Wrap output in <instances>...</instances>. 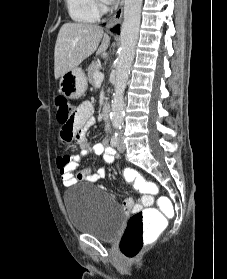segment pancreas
<instances>
[{
  "label": "pancreas",
  "mask_w": 227,
  "mask_h": 279,
  "mask_svg": "<svg viewBox=\"0 0 227 279\" xmlns=\"http://www.w3.org/2000/svg\"><path fill=\"white\" fill-rule=\"evenodd\" d=\"M99 70V63L97 61H93L88 67V79L91 84L95 83L94 73Z\"/></svg>",
  "instance_id": "1"
}]
</instances>
